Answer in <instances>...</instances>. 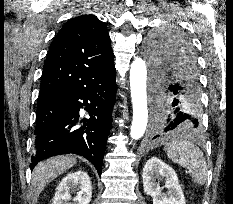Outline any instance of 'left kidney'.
<instances>
[{"mask_svg": "<svg viewBox=\"0 0 233 204\" xmlns=\"http://www.w3.org/2000/svg\"><path fill=\"white\" fill-rule=\"evenodd\" d=\"M144 192L152 197L153 204H186L182 188L175 171L161 159L150 158L142 173ZM159 181H164L161 187ZM166 188L167 192L163 193Z\"/></svg>", "mask_w": 233, "mask_h": 204, "instance_id": "5707ae66", "label": "left kidney"}]
</instances>
